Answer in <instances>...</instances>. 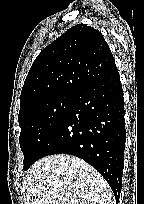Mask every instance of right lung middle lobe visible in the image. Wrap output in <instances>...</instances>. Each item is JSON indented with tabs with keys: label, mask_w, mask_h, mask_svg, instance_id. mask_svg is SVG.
Returning <instances> with one entry per match:
<instances>
[{
	"label": "right lung middle lobe",
	"mask_w": 144,
	"mask_h": 204,
	"mask_svg": "<svg viewBox=\"0 0 144 204\" xmlns=\"http://www.w3.org/2000/svg\"><path fill=\"white\" fill-rule=\"evenodd\" d=\"M75 96L58 94L19 113V143L24 154V170L39 159L44 144L66 115Z\"/></svg>",
	"instance_id": "obj_1"
}]
</instances>
